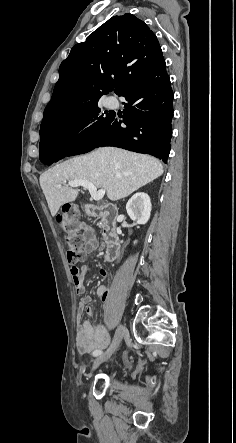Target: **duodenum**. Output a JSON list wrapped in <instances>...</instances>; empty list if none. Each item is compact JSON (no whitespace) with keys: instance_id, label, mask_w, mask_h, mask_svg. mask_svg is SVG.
<instances>
[{"instance_id":"obj_1","label":"duodenum","mask_w":236,"mask_h":443,"mask_svg":"<svg viewBox=\"0 0 236 443\" xmlns=\"http://www.w3.org/2000/svg\"><path fill=\"white\" fill-rule=\"evenodd\" d=\"M84 209L87 216L103 219V238L107 245L105 257L109 262L114 261L118 257L120 250V237L116 222L119 209L113 205L95 206L90 203H86Z\"/></svg>"}]
</instances>
